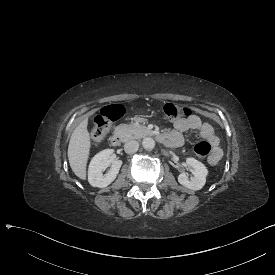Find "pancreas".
I'll return each instance as SVG.
<instances>
[{
  "mask_svg": "<svg viewBox=\"0 0 275 275\" xmlns=\"http://www.w3.org/2000/svg\"><path fill=\"white\" fill-rule=\"evenodd\" d=\"M115 134H117L122 142H126L132 139H140L145 136L152 135V131L146 126L131 123L120 124L115 128Z\"/></svg>",
  "mask_w": 275,
  "mask_h": 275,
  "instance_id": "cf45deb5",
  "label": "pancreas"
}]
</instances>
